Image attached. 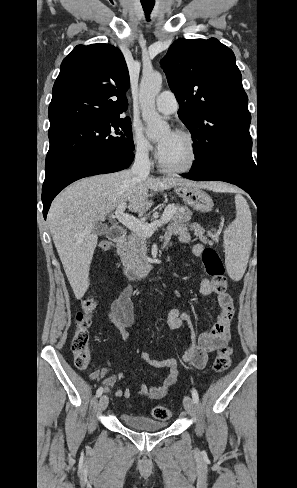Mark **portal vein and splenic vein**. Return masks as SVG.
Segmentation results:
<instances>
[{
	"label": "portal vein and splenic vein",
	"mask_w": 297,
	"mask_h": 488,
	"mask_svg": "<svg viewBox=\"0 0 297 488\" xmlns=\"http://www.w3.org/2000/svg\"><path fill=\"white\" fill-rule=\"evenodd\" d=\"M126 207L127 203L119 205L115 211V216L117 217L119 222H121L128 229L133 232L142 234L146 237L152 236V234L158 227L167 224L170 221V213L173 211V206H167L164 209V212L159 220H155L152 223H147L140 221L139 219L129 214H125L124 211Z\"/></svg>",
	"instance_id": "1"
}]
</instances>
